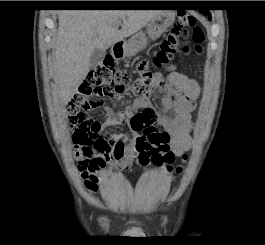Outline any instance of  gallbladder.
Instances as JSON below:
<instances>
[{"instance_id": "bac80fb5", "label": "gallbladder", "mask_w": 265, "mask_h": 245, "mask_svg": "<svg viewBox=\"0 0 265 245\" xmlns=\"http://www.w3.org/2000/svg\"><path fill=\"white\" fill-rule=\"evenodd\" d=\"M105 55H106L105 50L98 48L94 49L89 60L90 68L91 69L96 68L103 61Z\"/></svg>"}]
</instances>
